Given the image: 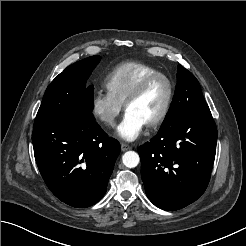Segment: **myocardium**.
<instances>
[{
	"label": "myocardium",
	"mask_w": 246,
	"mask_h": 246,
	"mask_svg": "<svg viewBox=\"0 0 246 246\" xmlns=\"http://www.w3.org/2000/svg\"><path fill=\"white\" fill-rule=\"evenodd\" d=\"M156 79H163L167 83L168 95H167V99H166V102H165V105H164L162 111L160 112V114L157 117H155L153 120H151L150 122H148L146 124L148 127H156L159 124H161L166 119V117L168 116V114L170 112L173 98H174V90H175L174 84H173V81L171 80V78L162 72H156V73H153V74L146 76L131 91V93L127 96V98L124 102V108H125V110H127L128 106L132 102L137 100L143 94V92L146 90V88Z\"/></svg>",
	"instance_id": "1"
}]
</instances>
